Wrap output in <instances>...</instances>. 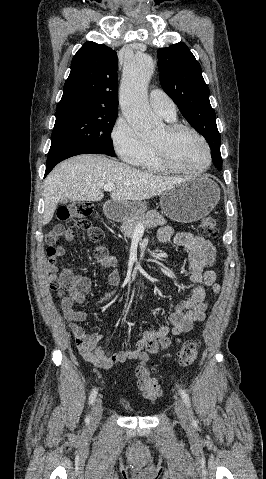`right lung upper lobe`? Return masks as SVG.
Masks as SVG:
<instances>
[{
    "instance_id": "1",
    "label": "right lung upper lobe",
    "mask_w": 266,
    "mask_h": 479,
    "mask_svg": "<svg viewBox=\"0 0 266 479\" xmlns=\"http://www.w3.org/2000/svg\"><path fill=\"white\" fill-rule=\"evenodd\" d=\"M56 114L70 111H118L117 53L88 41L72 59Z\"/></svg>"
}]
</instances>
